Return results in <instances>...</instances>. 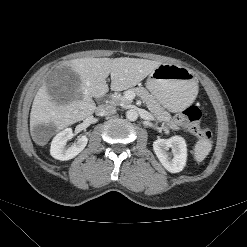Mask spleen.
Masks as SVG:
<instances>
[{"instance_id": "obj_1", "label": "spleen", "mask_w": 247, "mask_h": 247, "mask_svg": "<svg viewBox=\"0 0 247 247\" xmlns=\"http://www.w3.org/2000/svg\"><path fill=\"white\" fill-rule=\"evenodd\" d=\"M212 149V141L200 139L194 147V158L197 162L203 161Z\"/></svg>"}]
</instances>
